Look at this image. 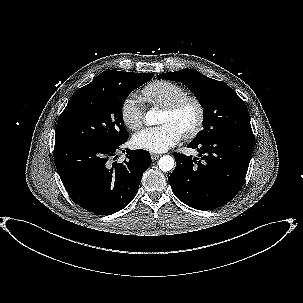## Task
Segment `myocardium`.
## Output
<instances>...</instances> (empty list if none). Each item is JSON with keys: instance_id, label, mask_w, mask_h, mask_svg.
<instances>
[{"instance_id": "f54148a6", "label": "myocardium", "mask_w": 303, "mask_h": 303, "mask_svg": "<svg viewBox=\"0 0 303 303\" xmlns=\"http://www.w3.org/2000/svg\"><path fill=\"white\" fill-rule=\"evenodd\" d=\"M187 103L194 105L196 109V120L193 126L185 130L182 134L186 139H192L201 132L205 121V109L201 101L195 96L184 95L163 107V110L168 113H176Z\"/></svg>"}]
</instances>
